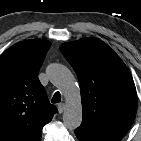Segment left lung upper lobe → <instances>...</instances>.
Wrapping results in <instances>:
<instances>
[{"label":"left lung upper lobe","mask_w":141,"mask_h":141,"mask_svg":"<svg viewBox=\"0 0 141 141\" xmlns=\"http://www.w3.org/2000/svg\"><path fill=\"white\" fill-rule=\"evenodd\" d=\"M60 50L75 70L81 90L83 120L75 134L89 141H120L137 112L136 88L128 68L97 38L67 42Z\"/></svg>","instance_id":"obj_1"}]
</instances>
